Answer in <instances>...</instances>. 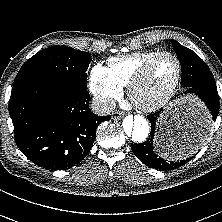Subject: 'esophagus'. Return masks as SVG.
I'll list each match as a JSON object with an SVG mask.
<instances>
[{
	"label": "esophagus",
	"instance_id": "esophagus-1",
	"mask_svg": "<svg viewBox=\"0 0 222 222\" xmlns=\"http://www.w3.org/2000/svg\"><path fill=\"white\" fill-rule=\"evenodd\" d=\"M123 113L121 112V111H114L113 113H112V118L114 119V120H120L122 117H123Z\"/></svg>",
	"mask_w": 222,
	"mask_h": 222
}]
</instances>
